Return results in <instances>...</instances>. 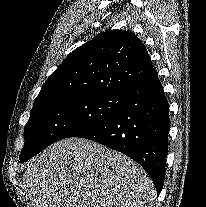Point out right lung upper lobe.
Returning <instances> with one entry per match:
<instances>
[{
  "mask_svg": "<svg viewBox=\"0 0 206 207\" xmlns=\"http://www.w3.org/2000/svg\"><path fill=\"white\" fill-rule=\"evenodd\" d=\"M153 72L141 40L129 31H107L63 61L44 83L34 105L64 96L125 94Z\"/></svg>",
  "mask_w": 206,
  "mask_h": 207,
  "instance_id": "1",
  "label": "right lung upper lobe"
}]
</instances>
